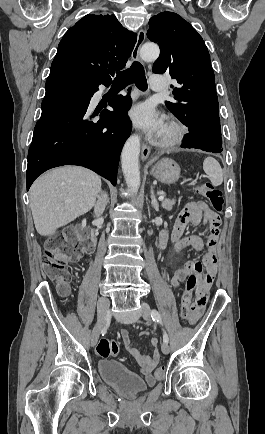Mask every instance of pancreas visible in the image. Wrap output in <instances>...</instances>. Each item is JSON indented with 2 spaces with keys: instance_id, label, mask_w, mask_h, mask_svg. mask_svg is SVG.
Segmentation results:
<instances>
[{
  "instance_id": "pancreas-1",
  "label": "pancreas",
  "mask_w": 265,
  "mask_h": 434,
  "mask_svg": "<svg viewBox=\"0 0 265 434\" xmlns=\"http://www.w3.org/2000/svg\"><path fill=\"white\" fill-rule=\"evenodd\" d=\"M175 204V200H169V198H165V200H162V208H165V210H172L173 206Z\"/></svg>"
}]
</instances>
